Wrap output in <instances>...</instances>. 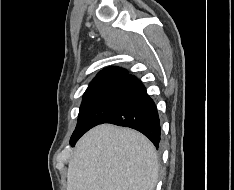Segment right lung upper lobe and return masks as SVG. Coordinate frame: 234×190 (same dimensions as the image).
<instances>
[{
  "instance_id": "right-lung-upper-lobe-1",
  "label": "right lung upper lobe",
  "mask_w": 234,
  "mask_h": 190,
  "mask_svg": "<svg viewBox=\"0 0 234 190\" xmlns=\"http://www.w3.org/2000/svg\"><path fill=\"white\" fill-rule=\"evenodd\" d=\"M129 76L128 71L123 68L108 67L97 74V76L89 84L88 88L97 87L118 80H127Z\"/></svg>"
}]
</instances>
